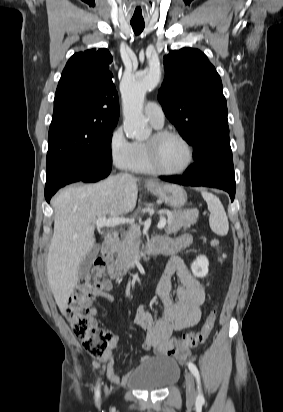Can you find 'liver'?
<instances>
[{
	"mask_svg": "<svg viewBox=\"0 0 283 412\" xmlns=\"http://www.w3.org/2000/svg\"><path fill=\"white\" fill-rule=\"evenodd\" d=\"M137 181L132 176H110L96 184L68 187L53 199L54 233L46 270L61 312L77 285L81 262L94 247L96 220L130 213L137 202Z\"/></svg>",
	"mask_w": 283,
	"mask_h": 412,
	"instance_id": "liver-1",
	"label": "liver"
}]
</instances>
